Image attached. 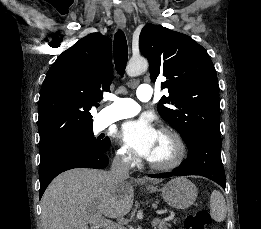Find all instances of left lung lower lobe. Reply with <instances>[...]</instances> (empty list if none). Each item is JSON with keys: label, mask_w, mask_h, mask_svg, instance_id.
<instances>
[{"label": "left lung lower lobe", "mask_w": 261, "mask_h": 229, "mask_svg": "<svg viewBox=\"0 0 261 229\" xmlns=\"http://www.w3.org/2000/svg\"><path fill=\"white\" fill-rule=\"evenodd\" d=\"M222 140L218 137L201 135L188 146V158L172 172L150 174L152 178L200 175L215 181L225 188V171L221 161Z\"/></svg>", "instance_id": "obj_1"}]
</instances>
